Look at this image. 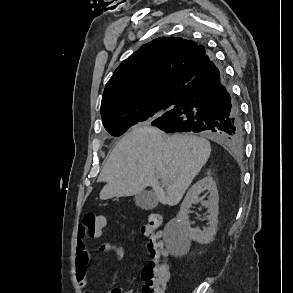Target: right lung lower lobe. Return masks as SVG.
<instances>
[{
    "label": "right lung lower lobe",
    "instance_id": "1",
    "mask_svg": "<svg viewBox=\"0 0 293 293\" xmlns=\"http://www.w3.org/2000/svg\"><path fill=\"white\" fill-rule=\"evenodd\" d=\"M151 124L167 133L203 132L236 151L243 146L240 109L214 59L182 89L175 107Z\"/></svg>",
    "mask_w": 293,
    "mask_h": 293
}]
</instances>
